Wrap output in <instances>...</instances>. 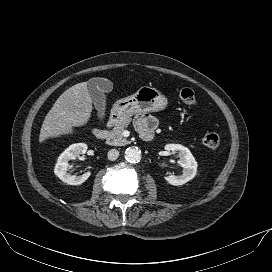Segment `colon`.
<instances>
[{"label": "colon", "instance_id": "1", "mask_svg": "<svg viewBox=\"0 0 272 272\" xmlns=\"http://www.w3.org/2000/svg\"><path fill=\"white\" fill-rule=\"evenodd\" d=\"M180 100L187 105L196 103L195 92L191 88H183L179 93ZM203 144L209 149H218L221 145L220 137L215 133H206L202 138Z\"/></svg>", "mask_w": 272, "mask_h": 272}]
</instances>
